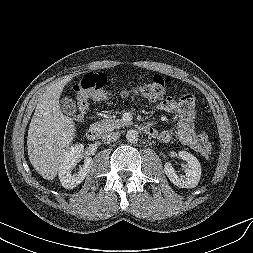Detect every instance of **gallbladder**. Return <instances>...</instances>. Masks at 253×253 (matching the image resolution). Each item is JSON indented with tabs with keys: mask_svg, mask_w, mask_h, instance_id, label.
Returning <instances> with one entry per match:
<instances>
[{
	"mask_svg": "<svg viewBox=\"0 0 253 253\" xmlns=\"http://www.w3.org/2000/svg\"><path fill=\"white\" fill-rule=\"evenodd\" d=\"M76 102L69 98V97H63L60 100V110L69 116H72L76 112Z\"/></svg>",
	"mask_w": 253,
	"mask_h": 253,
	"instance_id": "bac80fb5",
	"label": "gallbladder"
}]
</instances>
